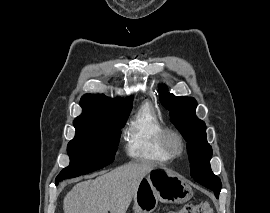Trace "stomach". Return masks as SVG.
I'll list each match as a JSON object with an SVG mask.
<instances>
[{"mask_svg":"<svg viewBox=\"0 0 270 213\" xmlns=\"http://www.w3.org/2000/svg\"><path fill=\"white\" fill-rule=\"evenodd\" d=\"M193 196L188 182L168 169H156L147 174L133 198V213H152L158 202L182 204Z\"/></svg>","mask_w":270,"mask_h":213,"instance_id":"stomach-1","label":"stomach"}]
</instances>
